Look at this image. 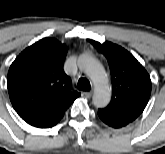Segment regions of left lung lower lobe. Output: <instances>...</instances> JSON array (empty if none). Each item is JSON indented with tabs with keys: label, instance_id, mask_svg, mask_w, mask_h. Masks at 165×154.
I'll return each instance as SVG.
<instances>
[{
	"label": "left lung lower lobe",
	"instance_id": "obj_1",
	"mask_svg": "<svg viewBox=\"0 0 165 154\" xmlns=\"http://www.w3.org/2000/svg\"><path fill=\"white\" fill-rule=\"evenodd\" d=\"M98 115L104 123H106L107 125H109L111 127L119 128V127L127 125V123L122 120L107 118L99 113H98Z\"/></svg>",
	"mask_w": 165,
	"mask_h": 154
}]
</instances>
